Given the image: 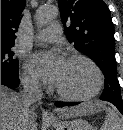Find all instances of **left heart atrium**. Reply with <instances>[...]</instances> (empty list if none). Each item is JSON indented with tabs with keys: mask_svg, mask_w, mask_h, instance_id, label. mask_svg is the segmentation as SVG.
<instances>
[{
	"mask_svg": "<svg viewBox=\"0 0 123 130\" xmlns=\"http://www.w3.org/2000/svg\"><path fill=\"white\" fill-rule=\"evenodd\" d=\"M30 63L40 77L55 84L64 67L65 60L56 51H44L34 54Z\"/></svg>",
	"mask_w": 123,
	"mask_h": 130,
	"instance_id": "obj_1",
	"label": "left heart atrium"
}]
</instances>
